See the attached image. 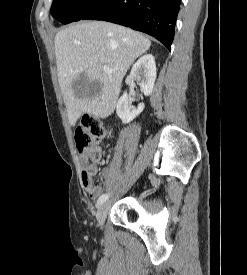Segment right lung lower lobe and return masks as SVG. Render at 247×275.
<instances>
[{"mask_svg":"<svg viewBox=\"0 0 247 275\" xmlns=\"http://www.w3.org/2000/svg\"><path fill=\"white\" fill-rule=\"evenodd\" d=\"M180 0H103L82 18L103 20L154 36L169 50Z\"/></svg>","mask_w":247,"mask_h":275,"instance_id":"98d812e1","label":"right lung lower lobe"}]
</instances>
